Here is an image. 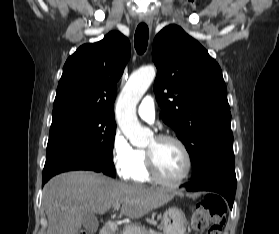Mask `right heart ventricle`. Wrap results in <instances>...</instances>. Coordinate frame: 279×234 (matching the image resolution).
I'll return each instance as SVG.
<instances>
[{"mask_svg": "<svg viewBox=\"0 0 279 234\" xmlns=\"http://www.w3.org/2000/svg\"><path fill=\"white\" fill-rule=\"evenodd\" d=\"M127 179L135 183H147L151 181L147 168L145 150L135 149L134 162L131 166Z\"/></svg>", "mask_w": 279, "mask_h": 234, "instance_id": "obj_1", "label": "right heart ventricle"}]
</instances>
